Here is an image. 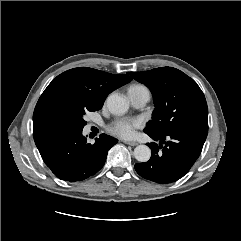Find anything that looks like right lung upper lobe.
Listing matches in <instances>:
<instances>
[{
	"label": "right lung upper lobe",
	"mask_w": 241,
	"mask_h": 241,
	"mask_svg": "<svg viewBox=\"0 0 241 241\" xmlns=\"http://www.w3.org/2000/svg\"><path fill=\"white\" fill-rule=\"evenodd\" d=\"M131 80L126 74L113 75L88 67L65 71L42 93L34 110L33 124L44 109L54 104L99 110L109 93Z\"/></svg>",
	"instance_id": "1"
}]
</instances>
